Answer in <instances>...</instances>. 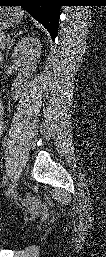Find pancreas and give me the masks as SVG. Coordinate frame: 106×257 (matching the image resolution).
Masks as SVG:
<instances>
[{"instance_id": "cf45deb5", "label": "pancreas", "mask_w": 106, "mask_h": 257, "mask_svg": "<svg viewBox=\"0 0 106 257\" xmlns=\"http://www.w3.org/2000/svg\"><path fill=\"white\" fill-rule=\"evenodd\" d=\"M10 38L9 37H6V36H1L0 38V48L3 50L6 46H9L10 45V42H9Z\"/></svg>"}]
</instances>
